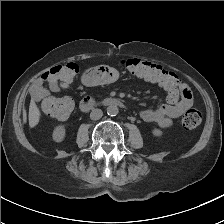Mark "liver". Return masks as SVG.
I'll return each mask as SVG.
<instances>
[{"mask_svg": "<svg viewBox=\"0 0 224 224\" xmlns=\"http://www.w3.org/2000/svg\"><path fill=\"white\" fill-rule=\"evenodd\" d=\"M41 117H42V113L40 109L38 108L35 99L31 95L29 111H28L29 127L35 128L39 124Z\"/></svg>", "mask_w": 224, "mask_h": 224, "instance_id": "6515ba94", "label": "liver"}]
</instances>
